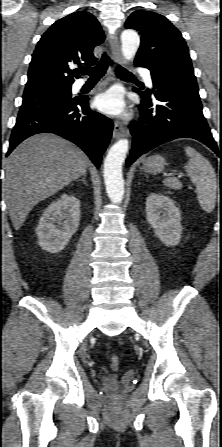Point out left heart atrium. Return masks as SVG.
<instances>
[{
	"label": "left heart atrium",
	"instance_id": "obj_1",
	"mask_svg": "<svg viewBox=\"0 0 222 447\" xmlns=\"http://www.w3.org/2000/svg\"><path fill=\"white\" fill-rule=\"evenodd\" d=\"M95 106L102 113L113 116H121L126 112L123 94L117 88H111L96 96Z\"/></svg>",
	"mask_w": 222,
	"mask_h": 447
}]
</instances>
